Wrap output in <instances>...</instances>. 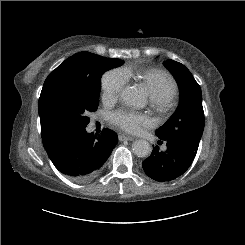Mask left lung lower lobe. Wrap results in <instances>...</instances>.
I'll use <instances>...</instances> for the list:
<instances>
[{"instance_id": "obj_1", "label": "left lung lower lobe", "mask_w": 245, "mask_h": 245, "mask_svg": "<svg viewBox=\"0 0 245 245\" xmlns=\"http://www.w3.org/2000/svg\"><path fill=\"white\" fill-rule=\"evenodd\" d=\"M160 140L166 142V151L161 152L155 147L142 166L150 178L159 182L171 181L187 171L196 156L197 148L181 140Z\"/></svg>"}]
</instances>
